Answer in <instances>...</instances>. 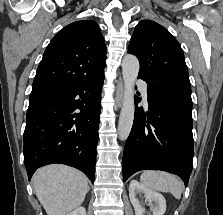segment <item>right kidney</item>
I'll list each match as a JSON object with an SVG mask.
<instances>
[{
  "label": "right kidney",
  "mask_w": 223,
  "mask_h": 215,
  "mask_svg": "<svg viewBox=\"0 0 223 215\" xmlns=\"http://www.w3.org/2000/svg\"><path fill=\"white\" fill-rule=\"evenodd\" d=\"M67 215H86V209L80 205V207L73 209V211H70V213H67Z\"/></svg>",
  "instance_id": "obj_1"
}]
</instances>
